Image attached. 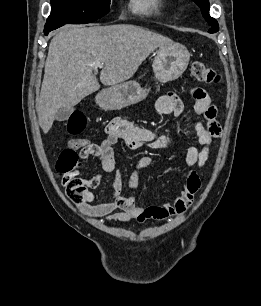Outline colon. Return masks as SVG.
Returning a JSON list of instances; mask_svg holds the SVG:
<instances>
[{"label": "colon", "instance_id": "1", "mask_svg": "<svg viewBox=\"0 0 261 306\" xmlns=\"http://www.w3.org/2000/svg\"><path fill=\"white\" fill-rule=\"evenodd\" d=\"M190 73L192 78L200 83L218 84L221 76L212 68L207 67L203 62L196 60L192 62ZM86 126V118L83 113H73L67 123L70 135L78 136ZM81 149L89 157H98L101 154L99 145L90 143L85 139L73 138L69 141V147L63 150L57 162V170L63 175L62 182L66 188L67 195L74 203H81L83 192L87 186L86 182L78 175L77 150Z\"/></svg>", "mask_w": 261, "mask_h": 306}]
</instances>
